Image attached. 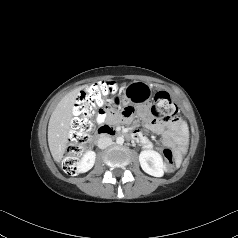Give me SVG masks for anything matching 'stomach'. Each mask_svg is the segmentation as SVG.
Masks as SVG:
<instances>
[{"label": "stomach", "instance_id": "obj_1", "mask_svg": "<svg viewBox=\"0 0 238 238\" xmlns=\"http://www.w3.org/2000/svg\"><path fill=\"white\" fill-rule=\"evenodd\" d=\"M151 98V87L144 82L135 81L125 87L124 91H120L112 99V104L116 108H121L128 103L130 99L133 101L149 100Z\"/></svg>", "mask_w": 238, "mask_h": 238}]
</instances>
